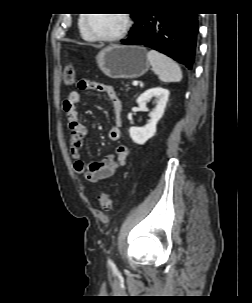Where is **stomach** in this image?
<instances>
[{"label":"stomach","mask_w":252,"mask_h":303,"mask_svg":"<svg viewBox=\"0 0 252 303\" xmlns=\"http://www.w3.org/2000/svg\"><path fill=\"white\" fill-rule=\"evenodd\" d=\"M100 70L110 78L134 79L144 75L149 67L147 52L136 45H111L96 56Z\"/></svg>","instance_id":"obj_1"}]
</instances>
